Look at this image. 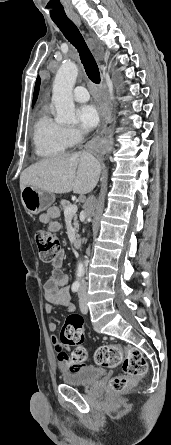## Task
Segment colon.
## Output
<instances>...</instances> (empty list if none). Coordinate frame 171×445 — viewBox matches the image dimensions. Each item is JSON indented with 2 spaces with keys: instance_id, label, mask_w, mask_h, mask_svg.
I'll return each mask as SVG.
<instances>
[{
  "instance_id": "obj_1",
  "label": "colon",
  "mask_w": 171,
  "mask_h": 445,
  "mask_svg": "<svg viewBox=\"0 0 171 445\" xmlns=\"http://www.w3.org/2000/svg\"><path fill=\"white\" fill-rule=\"evenodd\" d=\"M35 241L40 259L46 263L53 262L60 249L58 237L50 231L38 229L35 232ZM83 322L80 315L68 316L60 336L62 343L74 347L70 356L76 362H82L87 357L81 331ZM94 360L103 368L122 365L123 373L113 377L108 383V390L111 393H122L128 390L147 372V363L139 349L124 347L117 343L99 347L95 352Z\"/></svg>"
}]
</instances>
